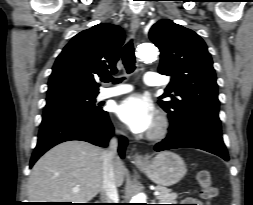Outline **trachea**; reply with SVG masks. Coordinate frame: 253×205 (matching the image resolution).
Listing matches in <instances>:
<instances>
[{
  "label": "trachea",
  "instance_id": "trachea-1",
  "mask_svg": "<svg viewBox=\"0 0 253 205\" xmlns=\"http://www.w3.org/2000/svg\"><path fill=\"white\" fill-rule=\"evenodd\" d=\"M122 60L127 73H132L135 70V54L132 40H130L122 50ZM122 79H114L110 76L103 79L104 82L119 83Z\"/></svg>",
  "mask_w": 253,
  "mask_h": 205
}]
</instances>
